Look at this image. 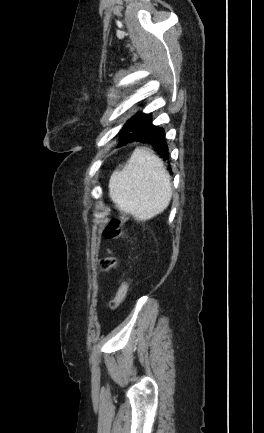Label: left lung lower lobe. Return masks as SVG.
<instances>
[{
	"label": "left lung lower lobe",
	"instance_id": "obj_1",
	"mask_svg": "<svg viewBox=\"0 0 264 433\" xmlns=\"http://www.w3.org/2000/svg\"><path fill=\"white\" fill-rule=\"evenodd\" d=\"M130 132L126 140L120 141L118 147L129 142L139 141L152 145L164 160L169 159L168 146L165 142L163 128L154 126L150 114L138 112L124 125Z\"/></svg>",
	"mask_w": 264,
	"mask_h": 433
}]
</instances>
